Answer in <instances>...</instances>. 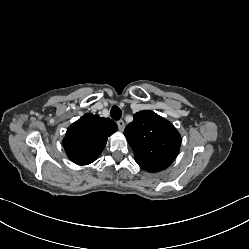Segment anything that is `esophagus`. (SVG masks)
I'll use <instances>...</instances> for the list:
<instances>
[{
	"mask_svg": "<svg viewBox=\"0 0 249 249\" xmlns=\"http://www.w3.org/2000/svg\"><path fill=\"white\" fill-rule=\"evenodd\" d=\"M117 125H118V128H119L120 131H123V130H124V128H125V123H124L123 120L117 121Z\"/></svg>",
	"mask_w": 249,
	"mask_h": 249,
	"instance_id": "esophagus-1",
	"label": "esophagus"
}]
</instances>
